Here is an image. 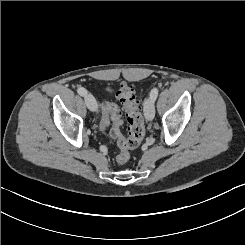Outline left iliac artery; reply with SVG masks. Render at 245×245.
<instances>
[{
  "label": "left iliac artery",
  "mask_w": 245,
  "mask_h": 245,
  "mask_svg": "<svg viewBox=\"0 0 245 245\" xmlns=\"http://www.w3.org/2000/svg\"><path fill=\"white\" fill-rule=\"evenodd\" d=\"M158 88H153L150 92V97L153 99V100H156L157 96H158Z\"/></svg>",
  "instance_id": "obj_1"
}]
</instances>
